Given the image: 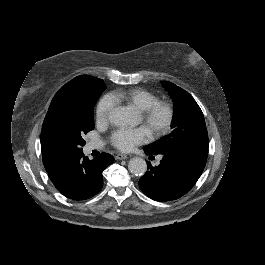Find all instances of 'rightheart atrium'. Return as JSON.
Returning a JSON list of instances; mask_svg holds the SVG:
<instances>
[{"mask_svg": "<svg viewBox=\"0 0 265 265\" xmlns=\"http://www.w3.org/2000/svg\"><path fill=\"white\" fill-rule=\"evenodd\" d=\"M116 104L114 100L111 98L109 95L103 96L97 106H96V111H95V117L96 121L99 124H106L115 110Z\"/></svg>", "mask_w": 265, "mask_h": 265, "instance_id": "d8ad5b80", "label": "right heart atrium"}]
</instances>
